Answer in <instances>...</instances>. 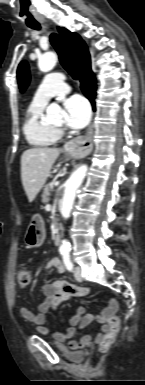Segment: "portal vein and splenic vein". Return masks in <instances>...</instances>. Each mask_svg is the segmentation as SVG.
I'll list each match as a JSON object with an SVG mask.
<instances>
[{"mask_svg":"<svg viewBox=\"0 0 145 385\" xmlns=\"http://www.w3.org/2000/svg\"><path fill=\"white\" fill-rule=\"evenodd\" d=\"M49 207H50V205H47V206H46V208H49Z\"/></svg>","mask_w":145,"mask_h":385,"instance_id":"obj_1","label":"portal vein and splenic vein"}]
</instances>
